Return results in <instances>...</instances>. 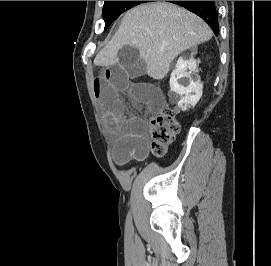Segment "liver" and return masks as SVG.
<instances>
[{
    "label": "liver",
    "instance_id": "obj_1",
    "mask_svg": "<svg viewBox=\"0 0 271 266\" xmlns=\"http://www.w3.org/2000/svg\"><path fill=\"white\" fill-rule=\"evenodd\" d=\"M212 30L198 16L170 3H147L129 10L111 41L94 64L109 67L118 62L119 50L135 46L150 67L148 76L162 80L171 62L188 48L212 38Z\"/></svg>",
    "mask_w": 271,
    "mask_h": 266
}]
</instances>
